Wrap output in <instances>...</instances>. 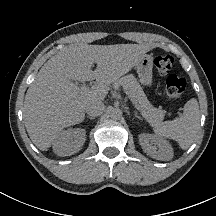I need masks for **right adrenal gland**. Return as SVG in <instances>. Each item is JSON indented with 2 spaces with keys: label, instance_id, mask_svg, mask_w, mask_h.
<instances>
[{
  "label": "right adrenal gland",
  "instance_id": "1",
  "mask_svg": "<svg viewBox=\"0 0 216 216\" xmlns=\"http://www.w3.org/2000/svg\"><path fill=\"white\" fill-rule=\"evenodd\" d=\"M87 118H89L90 120H94L95 117H90V116H87Z\"/></svg>",
  "mask_w": 216,
  "mask_h": 216
}]
</instances>
